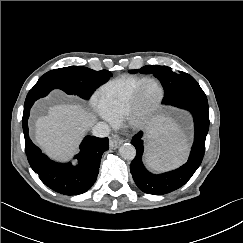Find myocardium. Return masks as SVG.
<instances>
[{"instance_id": "f54148a6", "label": "myocardium", "mask_w": 243, "mask_h": 243, "mask_svg": "<svg viewBox=\"0 0 243 243\" xmlns=\"http://www.w3.org/2000/svg\"><path fill=\"white\" fill-rule=\"evenodd\" d=\"M149 83H155L158 86L159 94L152 104L143 107L140 105V97L143 89ZM164 95V88L160 81L155 78H147L136 88L129 98L122 114V121L133 129L144 128L161 107Z\"/></svg>"}]
</instances>
